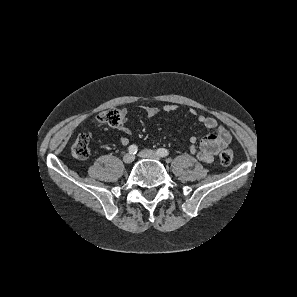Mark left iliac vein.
<instances>
[{
  "label": "left iliac vein",
  "instance_id": "left-iliac-vein-1",
  "mask_svg": "<svg viewBox=\"0 0 297 297\" xmlns=\"http://www.w3.org/2000/svg\"><path fill=\"white\" fill-rule=\"evenodd\" d=\"M138 156L141 158H151V159L160 160V156L155 151L150 149H144L140 151Z\"/></svg>",
  "mask_w": 297,
  "mask_h": 297
}]
</instances>
